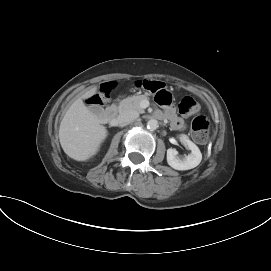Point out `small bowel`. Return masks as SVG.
<instances>
[{
	"label": "small bowel",
	"instance_id": "c3829d8e",
	"mask_svg": "<svg viewBox=\"0 0 271 271\" xmlns=\"http://www.w3.org/2000/svg\"><path fill=\"white\" fill-rule=\"evenodd\" d=\"M167 117L170 119L171 124L176 129H182L183 128V121L180 117L177 116L173 108H168L166 111Z\"/></svg>",
	"mask_w": 271,
	"mask_h": 271
}]
</instances>
